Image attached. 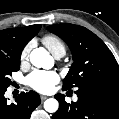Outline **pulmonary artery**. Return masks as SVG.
<instances>
[{
    "label": "pulmonary artery",
    "instance_id": "obj_1",
    "mask_svg": "<svg viewBox=\"0 0 119 119\" xmlns=\"http://www.w3.org/2000/svg\"><path fill=\"white\" fill-rule=\"evenodd\" d=\"M64 56V54L63 53H57L56 55H54V57L56 58V59H60L61 57H63ZM76 99V98H75Z\"/></svg>",
    "mask_w": 119,
    "mask_h": 119
}]
</instances>
